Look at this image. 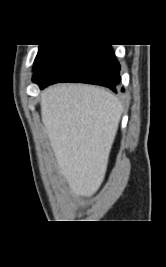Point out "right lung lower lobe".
Wrapping results in <instances>:
<instances>
[{
    "instance_id": "right-lung-lower-lobe-1",
    "label": "right lung lower lobe",
    "mask_w": 166,
    "mask_h": 267,
    "mask_svg": "<svg viewBox=\"0 0 166 267\" xmlns=\"http://www.w3.org/2000/svg\"><path fill=\"white\" fill-rule=\"evenodd\" d=\"M41 89L57 82H81L120 89V64L111 45L55 44L34 70Z\"/></svg>"
}]
</instances>
